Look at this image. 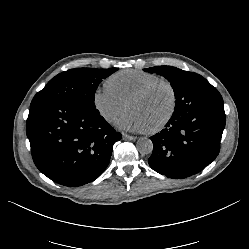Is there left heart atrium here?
<instances>
[{
    "instance_id": "left-heart-atrium-1",
    "label": "left heart atrium",
    "mask_w": 249,
    "mask_h": 249,
    "mask_svg": "<svg viewBox=\"0 0 249 249\" xmlns=\"http://www.w3.org/2000/svg\"><path fill=\"white\" fill-rule=\"evenodd\" d=\"M116 125L118 128L130 132H145L148 130L140 114L135 111H129L119 116Z\"/></svg>"
}]
</instances>
